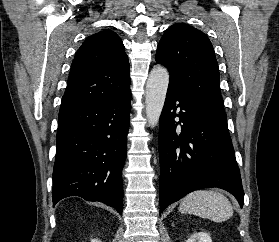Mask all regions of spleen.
<instances>
[{
    "label": "spleen",
    "mask_w": 279,
    "mask_h": 242,
    "mask_svg": "<svg viewBox=\"0 0 279 242\" xmlns=\"http://www.w3.org/2000/svg\"><path fill=\"white\" fill-rule=\"evenodd\" d=\"M179 211L215 222L225 221L233 215L230 201L223 194L213 190H197L189 193L180 203Z\"/></svg>",
    "instance_id": "1"
}]
</instances>
